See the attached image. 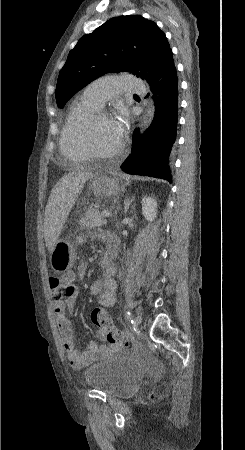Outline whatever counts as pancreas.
<instances>
[{"mask_svg": "<svg viewBox=\"0 0 245 450\" xmlns=\"http://www.w3.org/2000/svg\"><path fill=\"white\" fill-rule=\"evenodd\" d=\"M79 223L84 228H95L106 225L107 220L103 218L99 210L90 206Z\"/></svg>", "mask_w": 245, "mask_h": 450, "instance_id": "pancreas-1", "label": "pancreas"}]
</instances>
